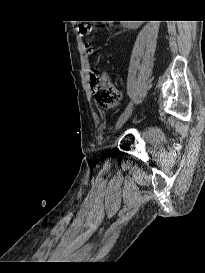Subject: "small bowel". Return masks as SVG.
<instances>
[{
    "label": "small bowel",
    "mask_w": 205,
    "mask_h": 273,
    "mask_svg": "<svg viewBox=\"0 0 205 273\" xmlns=\"http://www.w3.org/2000/svg\"><path fill=\"white\" fill-rule=\"evenodd\" d=\"M86 49H87L88 54L92 55L94 53V49L91 46L86 45Z\"/></svg>",
    "instance_id": "1"
}]
</instances>
